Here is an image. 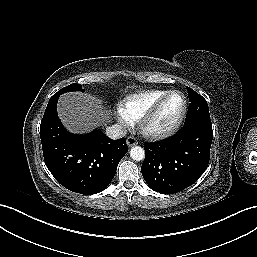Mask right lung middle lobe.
<instances>
[{"mask_svg": "<svg viewBox=\"0 0 257 257\" xmlns=\"http://www.w3.org/2000/svg\"><path fill=\"white\" fill-rule=\"evenodd\" d=\"M70 91H84V89H82V85L80 84H70L62 88L61 90H59L57 94L61 95L65 92H70Z\"/></svg>", "mask_w": 257, "mask_h": 257, "instance_id": "dd1d6c3e", "label": "right lung middle lobe"}]
</instances>
